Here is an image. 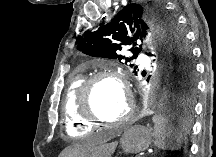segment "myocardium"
Wrapping results in <instances>:
<instances>
[{
  "label": "myocardium",
  "mask_w": 216,
  "mask_h": 157,
  "mask_svg": "<svg viewBox=\"0 0 216 157\" xmlns=\"http://www.w3.org/2000/svg\"><path fill=\"white\" fill-rule=\"evenodd\" d=\"M110 80L116 83L123 91L128 101V107L125 113L114 122H107L98 117L93 110L92 93L95 85L101 81ZM76 105L80 116L90 124H98L103 126H121L128 123L134 114V104L130 98L127 87L118 72H100L85 79L79 87Z\"/></svg>",
  "instance_id": "obj_1"
}]
</instances>
